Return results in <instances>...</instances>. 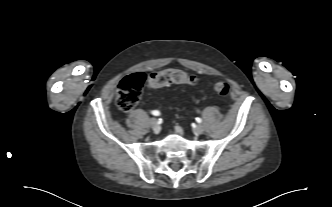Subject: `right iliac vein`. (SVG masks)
<instances>
[{
  "label": "right iliac vein",
  "mask_w": 332,
  "mask_h": 207,
  "mask_svg": "<svg viewBox=\"0 0 332 207\" xmlns=\"http://www.w3.org/2000/svg\"><path fill=\"white\" fill-rule=\"evenodd\" d=\"M149 124L153 128L154 131H156L157 129H159L158 121H157L156 118H151L149 120Z\"/></svg>",
  "instance_id": "63e3f726"
}]
</instances>
